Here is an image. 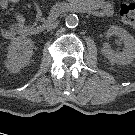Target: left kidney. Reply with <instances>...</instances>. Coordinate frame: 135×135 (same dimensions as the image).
Listing matches in <instances>:
<instances>
[{
	"mask_svg": "<svg viewBox=\"0 0 135 135\" xmlns=\"http://www.w3.org/2000/svg\"><path fill=\"white\" fill-rule=\"evenodd\" d=\"M111 35H116L124 42L123 52L115 53L105 43L101 49L102 54L112 63L118 65L129 64L135 59V39L125 29L120 26H111L109 28Z\"/></svg>",
	"mask_w": 135,
	"mask_h": 135,
	"instance_id": "5707ae66",
	"label": "left kidney"
}]
</instances>
